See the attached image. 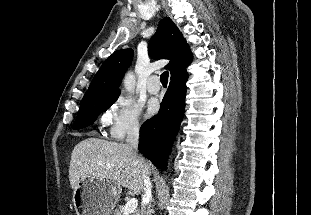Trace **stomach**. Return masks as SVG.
Returning a JSON list of instances; mask_svg holds the SVG:
<instances>
[{
	"label": "stomach",
	"instance_id": "0dacf381",
	"mask_svg": "<svg viewBox=\"0 0 311 215\" xmlns=\"http://www.w3.org/2000/svg\"><path fill=\"white\" fill-rule=\"evenodd\" d=\"M121 188L115 183L87 177L73 191V205L78 215H110Z\"/></svg>",
	"mask_w": 311,
	"mask_h": 215
}]
</instances>
